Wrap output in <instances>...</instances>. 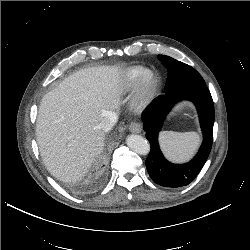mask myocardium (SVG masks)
I'll list each match as a JSON object with an SVG mask.
<instances>
[{
	"label": "myocardium",
	"instance_id": "1",
	"mask_svg": "<svg viewBox=\"0 0 250 250\" xmlns=\"http://www.w3.org/2000/svg\"><path fill=\"white\" fill-rule=\"evenodd\" d=\"M157 89L158 78L156 74L151 70H145L134 86L132 107L137 111L145 108L156 94Z\"/></svg>",
	"mask_w": 250,
	"mask_h": 250
}]
</instances>
